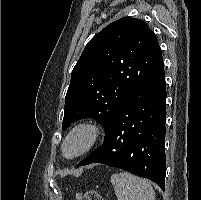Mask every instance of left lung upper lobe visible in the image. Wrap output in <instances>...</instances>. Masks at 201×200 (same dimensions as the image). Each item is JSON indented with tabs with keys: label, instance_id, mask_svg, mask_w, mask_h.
I'll return each mask as SVG.
<instances>
[{
	"label": "left lung upper lobe",
	"instance_id": "obj_1",
	"mask_svg": "<svg viewBox=\"0 0 201 200\" xmlns=\"http://www.w3.org/2000/svg\"><path fill=\"white\" fill-rule=\"evenodd\" d=\"M161 58L158 40L144 21L125 17L109 24L89 41L72 70L62 129L90 117L105 128Z\"/></svg>",
	"mask_w": 201,
	"mask_h": 200
}]
</instances>
